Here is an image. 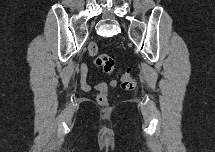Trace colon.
<instances>
[{
	"label": "colon",
	"mask_w": 215,
	"mask_h": 152,
	"mask_svg": "<svg viewBox=\"0 0 215 152\" xmlns=\"http://www.w3.org/2000/svg\"><path fill=\"white\" fill-rule=\"evenodd\" d=\"M88 53L90 56L95 57L96 66L101 67L106 73H112L116 70L115 62L109 55H98V46L96 43L92 42L89 44ZM119 76L121 87L124 90L133 91L136 88V80L128 71L121 72ZM97 101L102 105L106 104L107 94L100 93L97 96Z\"/></svg>",
	"instance_id": "obj_1"
}]
</instances>
